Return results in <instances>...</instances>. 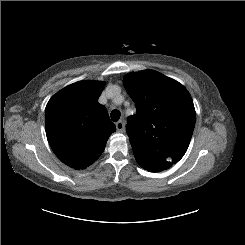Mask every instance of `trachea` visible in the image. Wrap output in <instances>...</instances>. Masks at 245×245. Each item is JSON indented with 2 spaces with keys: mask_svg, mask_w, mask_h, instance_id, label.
Masks as SVG:
<instances>
[{
  "mask_svg": "<svg viewBox=\"0 0 245 245\" xmlns=\"http://www.w3.org/2000/svg\"><path fill=\"white\" fill-rule=\"evenodd\" d=\"M120 115L121 114H120V112L118 110H113L111 112V119H112V121H114V122L118 121L120 119Z\"/></svg>",
  "mask_w": 245,
  "mask_h": 245,
  "instance_id": "1",
  "label": "trachea"
}]
</instances>
